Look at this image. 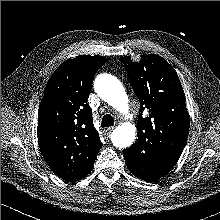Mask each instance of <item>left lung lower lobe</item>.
<instances>
[{"label": "left lung lower lobe", "mask_w": 220, "mask_h": 220, "mask_svg": "<svg viewBox=\"0 0 220 220\" xmlns=\"http://www.w3.org/2000/svg\"><path fill=\"white\" fill-rule=\"evenodd\" d=\"M124 158L129 171L145 181H157L173 168L158 161L138 159L132 147L124 150Z\"/></svg>", "instance_id": "obj_1"}]
</instances>
